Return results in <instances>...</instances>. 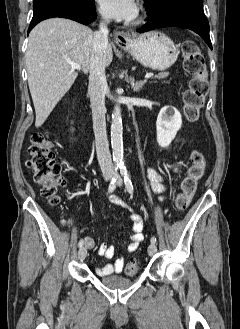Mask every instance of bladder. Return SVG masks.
Returning a JSON list of instances; mask_svg holds the SVG:
<instances>
[{"label":"bladder","instance_id":"bladder-1","mask_svg":"<svg viewBox=\"0 0 240 329\" xmlns=\"http://www.w3.org/2000/svg\"><path fill=\"white\" fill-rule=\"evenodd\" d=\"M132 282H133V278L119 276V275L108 276L101 279V283L104 286L113 289H120L127 287L131 285Z\"/></svg>","mask_w":240,"mask_h":329}]
</instances>
